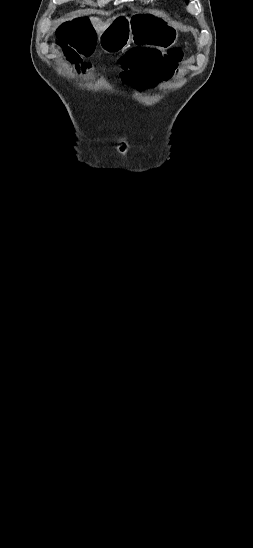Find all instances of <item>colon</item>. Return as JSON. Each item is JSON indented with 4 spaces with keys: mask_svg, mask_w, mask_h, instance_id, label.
I'll return each mask as SVG.
<instances>
[{
    "mask_svg": "<svg viewBox=\"0 0 253 548\" xmlns=\"http://www.w3.org/2000/svg\"><path fill=\"white\" fill-rule=\"evenodd\" d=\"M58 44L66 58L77 71L87 72L91 65L81 62V55L88 53L95 44L94 31L86 18L77 17L62 23L57 31ZM182 59L179 49L132 48L121 59L127 68L122 80L131 86L145 87L146 96H158L161 93L159 83H168L170 74H177L178 63Z\"/></svg>",
    "mask_w": 253,
    "mask_h": 548,
    "instance_id": "obj_1",
    "label": "colon"
}]
</instances>
